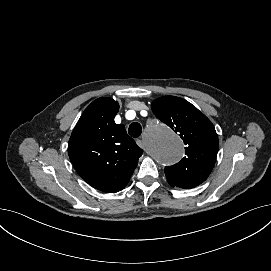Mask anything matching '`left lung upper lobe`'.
I'll return each instance as SVG.
<instances>
[{"label":"left lung upper lobe","mask_w":271,"mask_h":271,"mask_svg":"<svg viewBox=\"0 0 271 271\" xmlns=\"http://www.w3.org/2000/svg\"><path fill=\"white\" fill-rule=\"evenodd\" d=\"M151 108L155 116L171 127L184 141L185 157L165 167L171 186L194 188L210 175L219 148L218 136L211 121L188 101L163 96L154 100Z\"/></svg>","instance_id":"left-lung-upper-lobe-1"}]
</instances>
